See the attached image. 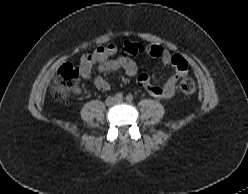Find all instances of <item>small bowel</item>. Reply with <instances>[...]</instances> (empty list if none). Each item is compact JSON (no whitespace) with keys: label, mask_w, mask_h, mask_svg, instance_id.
Segmentation results:
<instances>
[{"label":"small bowel","mask_w":248,"mask_h":194,"mask_svg":"<svg viewBox=\"0 0 248 194\" xmlns=\"http://www.w3.org/2000/svg\"><path fill=\"white\" fill-rule=\"evenodd\" d=\"M118 51H120V55L112 58ZM140 52L159 58L163 65L171 70V76L165 84L158 86L153 85L146 74H139L137 77L138 84L154 98L170 99L173 97L178 81L187 73V62L181 56L171 55L162 47L153 44L140 49L139 44L125 42L120 50L114 44L100 46L93 52L82 56L79 65L80 75L84 80H93L97 89L107 91L110 89V83L101 74L122 71L128 76L137 75V65L131 59V56ZM94 65H97L99 75L93 78L92 68Z\"/></svg>","instance_id":"c3829d8e"}]
</instances>
